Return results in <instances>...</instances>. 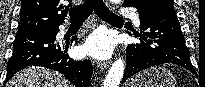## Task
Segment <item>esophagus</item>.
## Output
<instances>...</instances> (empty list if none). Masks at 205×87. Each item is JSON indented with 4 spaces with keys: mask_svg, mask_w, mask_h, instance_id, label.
Returning <instances> with one entry per match:
<instances>
[{
    "mask_svg": "<svg viewBox=\"0 0 205 87\" xmlns=\"http://www.w3.org/2000/svg\"><path fill=\"white\" fill-rule=\"evenodd\" d=\"M110 63H111V61L108 60V61L100 62L98 66H99L102 70H104V69H106V68H108V67L110 66Z\"/></svg>",
    "mask_w": 205,
    "mask_h": 87,
    "instance_id": "esophagus-1",
    "label": "esophagus"
}]
</instances>
